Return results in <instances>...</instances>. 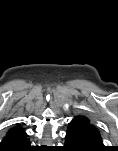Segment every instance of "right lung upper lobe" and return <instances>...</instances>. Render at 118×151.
<instances>
[{
    "mask_svg": "<svg viewBox=\"0 0 118 151\" xmlns=\"http://www.w3.org/2000/svg\"><path fill=\"white\" fill-rule=\"evenodd\" d=\"M27 134L21 126H15L10 129L6 136L3 138L2 145H0V150L4 151H15V149L27 141ZM9 149V150H8Z\"/></svg>",
    "mask_w": 118,
    "mask_h": 151,
    "instance_id": "cb5924a9",
    "label": "right lung upper lobe"
}]
</instances>
